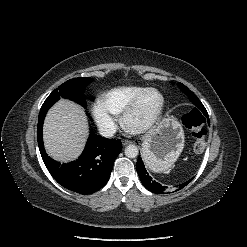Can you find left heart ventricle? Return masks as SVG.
<instances>
[{
	"label": "left heart ventricle",
	"instance_id": "1",
	"mask_svg": "<svg viewBox=\"0 0 247 247\" xmlns=\"http://www.w3.org/2000/svg\"><path fill=\"white\" fill-rule=\"evenodd\" d=\"M160 102V96L156 92L145 94L129 118L130 125L140 127L149 122L157 113Z\"/></svg>",
	"mask_w": 247,
	"mask_h": 247
}]
</instances>
